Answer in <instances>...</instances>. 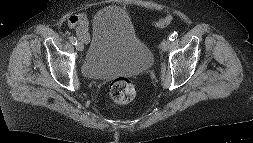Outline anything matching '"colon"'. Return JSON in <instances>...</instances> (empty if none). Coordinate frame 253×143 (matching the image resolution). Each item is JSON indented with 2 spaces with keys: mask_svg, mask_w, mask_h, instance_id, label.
<instances>
[{
  "mask_svg": "<svg viewBox=\"0 0 253 143\" xmlns=\"http://www.w3.org/2000/svg\"><path fill=\"white\" fill-rule=\"evenodd\" d=\"M109 94L115 103L131 102L136 95V89L132 82L126 78H117L109 85Z\"/></svg>",
  "mask_w": 253,
  "mask_h": 143,
  "instance_id": "obj_1",
  "label": "colon"
}]
</instances>
